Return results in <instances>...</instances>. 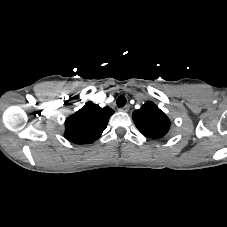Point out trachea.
<instances>
[{
  "mask_svg": "<svg viewBox=\"0 0 227 227\" xmlns=\"http://www.w3.org/2000/svg\"><path fill=\"white\" fill-rule=\"evenodd\" d=\"M125 104H126V98H125V96L120 95V96L117 98V106H118V107H124Z\"/></svg>",
  "mask_w": 227,
  "mask_h": 227,
  "instance_id": "1",
  "label": "trachea"
}]
</instances>
